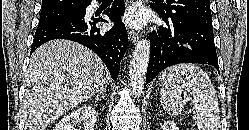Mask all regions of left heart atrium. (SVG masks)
I'll return each mask as SVG.
<instances>
[{
	"mask_svg": "<svg viewBox=\"0 0 249 130\" xmlns=\"http://www.w3.org/2000/svg\"><path fill=\"white\" fill-rule=\"evenodd\" d=\"M124 21L130 26L140 28L146 22L145 11L140 7H134L125 15Z\"/></svg>",
	"mask_w": 249,
	"mask_h": 130,
	"instance_id": "1",
	"label": "left heart atrium"
}]
</instances>
